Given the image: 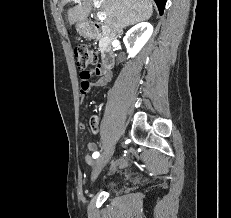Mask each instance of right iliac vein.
<instances>
[{
    "label": "right iliac vein",
    "instance_id": "obj_1",
    "mask_svg": "<svg viewBox=\"0 0 231 218\" xmlns=\"http://www.w3.org/2000/svg\"><path fill=\"white\" fill-rule=\"evenodd\" d=\"M114 153V147L107 149L96 161L92 171V181H94L98 175L100 174L101 170L104 166L108 163L111 159V156Z\"/></svg>",
    "mask_w": 231,
    "mask_h": 218
}]
</instances>
